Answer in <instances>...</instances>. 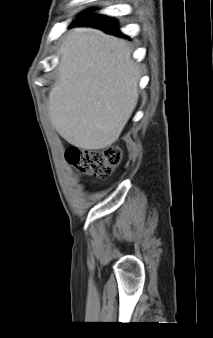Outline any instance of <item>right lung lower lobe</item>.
<instances>
[{
	"mask_svg": "<svg viewBox=\"0 0 213 338\" xmlns=\"http://www.w3.org/2000/svg\"><path fill=\"white\" fill-rule=\"evenodd\" d=\"M74 26H91L95 28L102 29L103 31L113 34L119 37H126L118 29L116 21L110 17L98 14L87 15L82 18L77 19L71 25Z\"/></svg>",
	"mask_w": 213,
	"mask_h": 338,
	"instance_id": "1",
	"label": "right lung lower lobe"
}]
</instances>
